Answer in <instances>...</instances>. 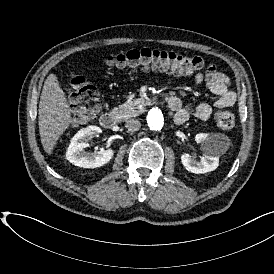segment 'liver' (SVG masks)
<instances>
[{
	"mask_svg": "<svg viewBox=\"0 0 274 274\" xmlns=\"http://www.w3.org/2000/svg\"><path fill=\"white\" fill-rule=\"evenodd\" d=\"M71 112L56 75L50 74L44 82L38 110L39 134L47 154H52L57 140L72 123Z\"/></svg>",
	"mask_w": 274,
	"mask_h": 274,
	"instance_id": "liver-1",
	"label": "liver"
}]
</instances>
